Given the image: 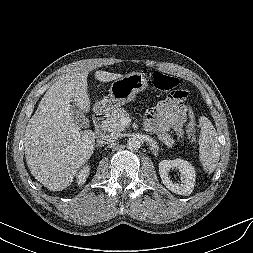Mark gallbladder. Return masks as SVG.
<instances>
[{
    "label": "gallbladder",
    "mask_w": 253,
    "mask_h": 253,
    "mask_svg": "<svg viewBox=\"0 0 253 253\" xmlns=\"http://www.w3.org/2000/svg\"><path fill=\"white\" fill-rule=\"evenodd\" d=\"M72 110L75 122H77L84 128H88L90 126V121L88 120V118L78 109L77 106L73 105Z\"/></svg>",
    "instance_id": "bac80fb5"
}]
</instances>
